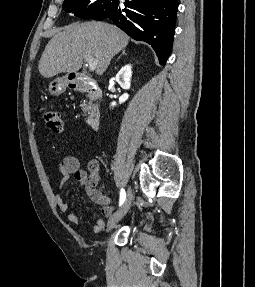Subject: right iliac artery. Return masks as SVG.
<instances>
[{
    "label": "right iliac artery",
    "instance_id": "right-iliac-artery-1",
    "mask_svg": "<svg viewBox=\"0 0 255 287\" xmlns=\"http://www.w3.org/2000/svg\"><path fill=\"white\" fill-rule=\"evenodd\" d=\"M125 198H126V193L124 191V189H121L120 191V202H119V205H122L125 201Z\"/></svg>",
    "mask_w": 255,
    "mask_h": 287
}]
</instances>
